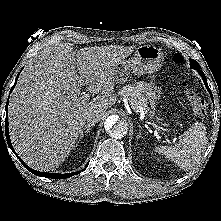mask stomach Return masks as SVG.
I'll use <instances>...</instances> for the list:
<instances>
[{"label":"stomach","instance_id":"stomach-1","mask_svg":"<svg viewBox=\"0 0 221 221\" xmlns=\"http://www.w3.org/2000/svg\"><path fill=\"white\" fill-rule=\"evenodd\" d=\"M163 61L164 56L160 49L151 45L139 46L131 58L115 67L114 79L116 83L122 84L127 81L131 73L138 76L151 75L161 68ZM140 87L151 105L157 103L162 95V89L154 82H142ZM149 116L153 117L154 113L151 111Z\"/></svg>","mask_w":221,"mask_h":221}]
</instances>
